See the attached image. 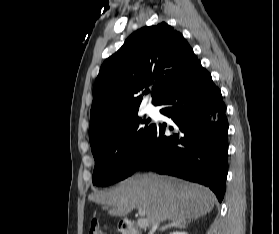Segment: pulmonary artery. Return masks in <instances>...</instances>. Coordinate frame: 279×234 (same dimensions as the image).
<instances>
[{
	"label": "pulmonary artery",
	"mask_w": 279,
	"mask_h": 234,
	"mask_svg": "<svg viewBox=\"0 0 279 234\" xmlns=\"http://www.w3.org/2000/svg\"><path fill=\"white\" fill-rule=\"evenodd\" d=\"M146 110L149 114H154L156 112V109L151 105H148Z\"/></svg>",
	"instance_id": "obj_1"
}]
</instances>
